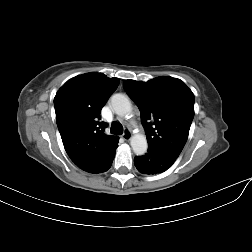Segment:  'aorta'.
Listing matches in <instances>:
<instances>
[{"instance_id":"aorta-1","label":"aorta","mask_w":252,"mask_h":252,"mask_svg":"<svg viewBox=\"0 0 252 252\" xmlns=\"http://www.w3.org/2000/svg\"><path fill=\"white\" fill-rule=\"evenodd\" d=\"M111 105L115 113L121 117L127 116L132 112L130 99L124 94H115L111 98ZM131 147L135 154L143 155L146 153L148 144L144 134L137 133L131 137Z\"/></svg>"}]
</instances>
